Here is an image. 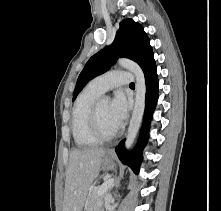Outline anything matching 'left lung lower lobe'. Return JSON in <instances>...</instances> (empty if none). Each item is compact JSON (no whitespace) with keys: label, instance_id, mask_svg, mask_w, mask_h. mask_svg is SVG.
I'll return each instance as SVG.
<instances>
[{"label":"left lung lower lobe","instance_id":"obj_1","mask_svg":"<svg viewBox=\"0 0 221 211\" xmlns=\"http://www.w3.org/2000/svg\"><path fill=\"white\" fill-rule=\"evenodd\" d=\"M142 69L146 80L147 91L144 121L139 141L136 148L131 154L125 153L124 140L116 147V153L120 160L124 164L130 166L136 174H138L139 172V166L142 160L141 151L146 145L149 132V124L158 99V79L155 60L153 56L145 63Z\"/></svg>","mask_w":221,"mask_h":211}]
</instances>
